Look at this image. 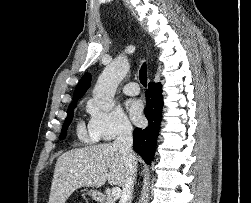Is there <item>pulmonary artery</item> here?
Returning a JSON list of instances; mask_svg holds the SVG:
<instances>
[{"label": "pulmonary artery", "mask_w": 251, "mask_h": 203, "mask_svg": "<svg viewBox=\"0 0 251 203\" xmlns=\"http://www.w3.org/2000/svg\"><path fill=\"white\" fill-rule=\"evenodd\" d=\"M125 94L137 95L140 92V88L136 82H129L122 87Z\"/></svg>", "instance_id": "pulmonary-artery-1"}]
</instances>
